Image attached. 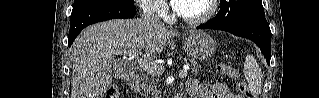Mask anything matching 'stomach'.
<instances>
[{
    "label": "stomach",
    "mask_w": 319,
    "mask_h": 98,
    "mask_svg": "<svg viewBox=\"0 0 319 98\" xmlns=\"http://www.w3.org/2000/svg\"><path fill=\"white\" fill-rule=\"evenodd\" d=\"M185 52L194 59L206 60L216 52L214 40L204 31H190L184 40Z\"/></svg>",
    "instance_id": "0dacf381"
}]
</instances>
